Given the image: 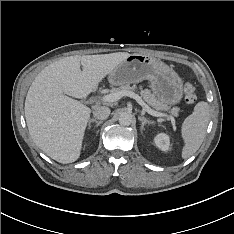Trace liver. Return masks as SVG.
I'll use <instances>...</instances> for the list:
<instances>
[{"instance_id":"1","label":"liver","mask_w":234,"mask_h":234,"mask_svg":"<svg viewBox=\"0 0 234 234\" xmlns=\"http://www.w3.org/2000/svg\"><path fill=\"white\" fill-rule=\"evenodd\" d=\"M129 55L70 56L37 75L26 96L25 118L31 138L46 155L63 164L80 157L91 109L68 96L87 97Z\"/></svg>"}]
</instances>
